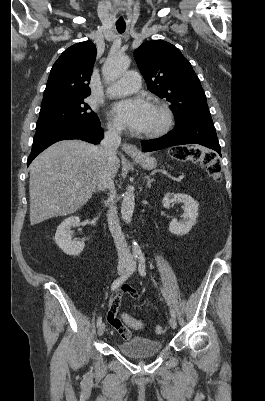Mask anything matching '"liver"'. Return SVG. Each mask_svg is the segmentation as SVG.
<instances>
[{"instance_id": "liver-1", "label": "liver", "mask_w": 265, "mask_h": 401, "mask_svg": "<svg viewBox=\"0 0 265 401\" xmlns=\"http://www.w3.org/2000/svg\"><path fill=\"white\" fill-rule=\"evenodd\" d=\"M120 166L113 164V176ZM30 225L65 217L86 205L105 168L102 146L83 140L55 142L30 166Z\"/></svg>"}]
</instances>
